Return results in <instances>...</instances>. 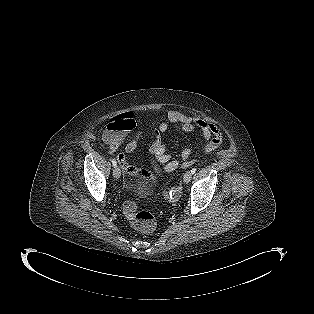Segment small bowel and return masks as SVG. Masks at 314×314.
I'll return each instance as SVG.
<instances>
[{
	"instance_id": "c3829d8e",
	"label": "small bowel",
	"mask_w": 314,
	"mask_h": 314,
	"mask_svg": "<svg viewBox=\"0 0 314 314\" xmlns=\"http://www.w3.org/2000/svg\"><path fill=\"white\" fill-rule=\"evenodd\" d=\"M171 124H178L181 131L185 133H191L195 130L200 131L205 139L203 148L205 154H211L223 142L222 131L214 123L200 117H190L172 110L167 113L166 117L157 127H152L147 132H137L126 144L125 153H133L138 147L141 138L144 135H148L152 139L151 152L158 161L164 164L165 171L172 172L179 165L184 167L188 166L191 163L190 148L186 147L183 149L180 162L176 157L167 152L166 145L161 141V134L167 132ZM122 140L109 144L110 153H114L118 149ZM125 153L121 152L117 155L118 162L124 170L135 173V168L127 163Z\"/></svg>"
}]
</instances>
